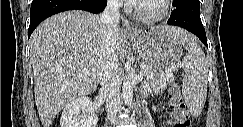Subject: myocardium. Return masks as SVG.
<instances>
[{
	"mask_svg": "<svg viewBox=\"0 0 243 127\" xmlns=\"http://www.w3.org/2000/svg\"><path fill=\"white\" fill-rule=\"evenodd\" d=\"M161 1V10L157 13L146 14L140 11V3L132 6L133 15L140 21L151 23L157 22L165 18L171 11V1L170 0H160Z\"/></svg>",
	"mask_w": 243,
	"mask_h": 127,
	"instance_id": "obj_1",
	"label": "myocardium"
}]
</instances>
